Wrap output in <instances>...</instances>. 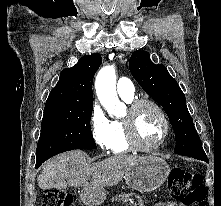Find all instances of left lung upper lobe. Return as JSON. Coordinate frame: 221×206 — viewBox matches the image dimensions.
<instances>
[{
	"label": "left lung upper lobe",
	"instance_id": "1",
	"mask_svg": "<svg viewBox=\"0 0 221 206\" xmlns=\"http://www.w3.org/2000/svg\"><path fill=\"white\" fill-rule=\"evenodd\" d=\"M129 67L144 91L167 111L176 137L175 153L195 158L206 156L187 109L185 96L166 67L154 64L146 51L134 52Z\"/></svg>",
	"mask_w": 221,
	"mask_h": 206
}]
</instances>
